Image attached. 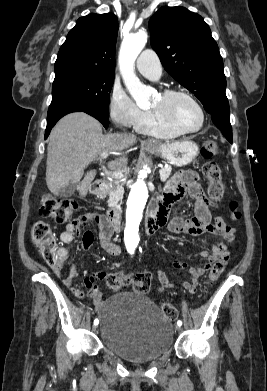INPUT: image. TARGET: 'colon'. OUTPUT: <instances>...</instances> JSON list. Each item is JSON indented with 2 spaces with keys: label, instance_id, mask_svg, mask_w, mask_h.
Here are the masks:
<instances>
[{
  "label": "colon",
  "instance_id": "obj_1",
  "mask_svg": "<svg viewBox=\"0 0 267 391\" xmlns=\"http://www.w3.org/2000/svg\"><path fill=\"white\" fill-rule=\"evenodd\" d=\"M219 151L218 144L212 140L204 141L201 153L205 159H210ZM204 177L208 183L207 192L213 202L221 201L225 196V185L222 182V172L219 165L214 161H207L202 167ZM77 209V203L69 199H60L52 196H45L42 199L40 214L44 218H50L56 223L65 224L75 222L73 214ZM231 217L238 220L241 213L238 209V203L231 201L229 204ZM31 238L34 245L40 251L43 259L50 266H55L59 260L56 238L50 225L45 221L36 222L31 231ZM228 253L224 252L211 267L205 283L212 285L223 273L228 263ZM108 286L112 291H119L123 286L130 285L132 289L140 294H146L150 290L151 275L148 272H134L127 276L114 274L108 277ZM164 315L173 321L177 318V309L169 303L162 305Z\"/></svg>",
  "mask_w": 267,
  "mask_h": 391
}]
</instances>
